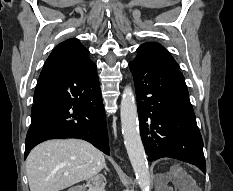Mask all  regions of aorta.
<instances>
[{
  "instance_id": "aorta-1",
  "label": "aorta",
  "mask_w": 233,
  "mask_h": 191,
  "mask_svg": "<svg viewBox=\"0 0 233 191\" xmlns=\"http://www.w3.org/2000/svg\"><path fill=\"white\" fill-rule=\"evenodd\" d=\"M121 125L124 144L142 191H150V173L145 150L142 144L137 106L130 86H126L121 99Z\"/></svg>"
}]
</instances>
